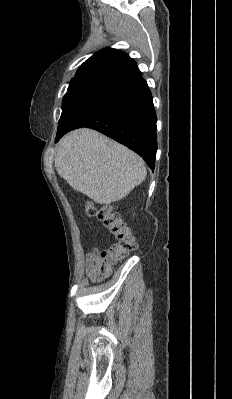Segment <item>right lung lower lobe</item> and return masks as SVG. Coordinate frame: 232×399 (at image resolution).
I'll return each mask as SVG.
<instances>
[{
  "instance_id": "right-lung-lower-lobe-1",
  "label": "right lung lower lobe",
  "mask_w": 232,
  "mask_h": 399,
  "mask_svg": "<svg viewBox=\"0 0 232 399\" xmlns=\"http://www.w3.org/2000/svg\"><path fill=\"white\" fill-rule=\"evenodd\" d=\"M156 121L151 92L134 66L62 106L55 141L76 128H92L135 151L154 170Z\"/></svg>"
}]
</instances>
